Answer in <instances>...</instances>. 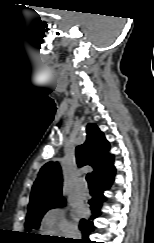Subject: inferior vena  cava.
<instances>
[{
    "label": "inferior vena cava",
    "mask_w": 154,
    "mask_h": 243,
    "mask_svg": "<svg viewBox=\"0 0 154 243\" xmlns=\"http://www.w3.org/2000/svg\"><path fill=\"white\" fill-rule=\"evenodd\" d=\"M68 238L80 239L81 233L76 227H70L67 232Z\"/></svg>",
    "instance_id": "1"
}]
</instances>
